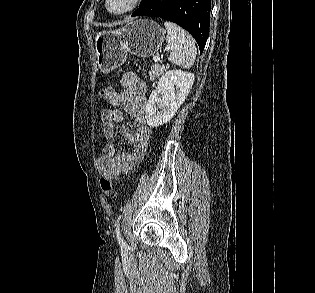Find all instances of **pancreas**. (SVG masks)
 <instances>
[{"mask_svg":"<svg viewBox=\"0 0 315 293\" xmlns=\"http://www.w3.org/2000/svg\"><path fill=\"white\" fill-rule=\"evenodd\" d=\"M167 70V67L164 65H152L149 71L150 80L153 81L156 78H159Z\"/></svg>","mask_w":315,"mask_h":293,"instance_id":"obj_1","label":"pancreas"}]
</instances>
